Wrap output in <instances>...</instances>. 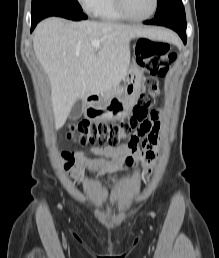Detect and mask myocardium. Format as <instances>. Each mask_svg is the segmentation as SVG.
<instances>
[{
  "mask_svg": "<svg viewBox=\"0 0 219 258\" xmlns=\"http://www.w3.org/2000/svg\"><path fill=\"white\" fill-rule=\"evenodd\" d=\"M114 1H115V6H116L119 14L124 19L134 21V22H141V21H145V20L150 19L151 17H153L155 15V13L157 12L158 7H159V0H154V7L148 15L142 16V17H135V16H132L128 13V11L125 7V4H124V0H114Z\"/></svg>",
  "mask_w": 219,
  "mask_h": 258,
  "instance_id": "f54148a6",
  "label": "myocardium"
}]
</instances>
